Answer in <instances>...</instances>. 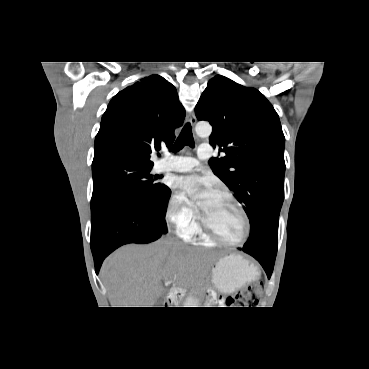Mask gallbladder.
Instances as JSON below:
<instances>
[{"instance_id": "1", "label": "gallbladder", "mask_w": 369, "mask_h": 369, "mask_svg": "<svg viewBox=\"0 0 369 369\" xmlns=\"http://www.w3.org/2000/svg\"><path fill=\"white\" fill-rule=\"evenodd\" d=\"M162 300H163L162 298H159L158 299L159 302H157V303L159 304V306H162V304H161L162 303Z\"/></svg>"}]
</instances>
